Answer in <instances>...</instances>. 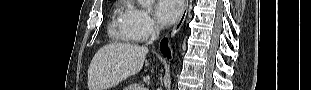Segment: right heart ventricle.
Segmentation results:
<instances>
[{"label":"right heart ventricle","mask_w":311,"mask_h":90,"mask_svg":"<svg viewBox=\"0 0 311 90\" xmlns=\"http://www.w3.org/2000/svg\"><path fill=\"white\" fill-rule=\"evenodd\" d=\"M124 15L125 11L118 9L111 22L110 32L112 35L116 36L120 40L125 42H133L135 41L127 32L124 25Z\"/></svg>","instance_id":"1"}]
</instances>
